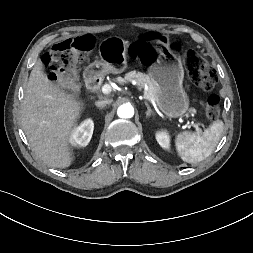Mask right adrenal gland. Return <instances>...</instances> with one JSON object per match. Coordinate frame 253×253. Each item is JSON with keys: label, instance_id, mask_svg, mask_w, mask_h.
<instances>
[{"label": "right adrenal gland", "instance_id": "1", "mask_svg": "<svg viewBox=\"0 0 253 253\" xmlns=\"http://www.w3.org/2000/svg\"><path fill=\"white\" fill-rule=\"evenodd\" d=\"M96 107H98L99 109H103L104 108V106H97V105H95Z\"/></svg>", "mask_w": 253, "mask_h": 253}]
</instances>
